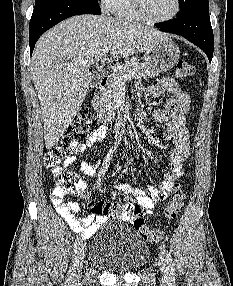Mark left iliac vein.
Here are the masks:
<instances>
[{
  "mask_svg": "<svg viewBox=\"0 0 233 286\" xmlns=\"http://www.w3.org/2000/svg\"><path fill=\"white\" fill-rule=\"evenodd\" d=\"M159 266H160V270H161L162 276L164 278H167L168 271H167L165 260L163 259L162 256L159 257Z\"/></svg>",
  "mask_w": 233,
  "mask_h": 286,
  "instance_id": "left-iliac-vein-1",
  "label": "left iliac vein"
}]
</instances>
